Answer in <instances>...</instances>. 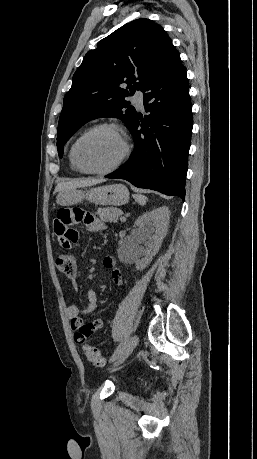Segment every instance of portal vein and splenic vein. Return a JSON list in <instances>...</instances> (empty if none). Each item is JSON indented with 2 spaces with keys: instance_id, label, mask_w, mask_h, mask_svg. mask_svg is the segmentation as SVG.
I'll return each instance as SVG.
<instances>
[{
  "instance_id": "portal-vein-and-splenic-vein-1",
  "label": "portal vein and splenic vein",
  "mask_w": 257,
  "mask_h": 459,
  "mask_svg": "<svg viewBox=\"0 0 257 459\" xmlns=\"http://www.w3.org/2000/svg\"><path fill=\"white\" fill-rule=\"evenodd\" d=\"M122 214H123V213H122ZM121 220H125V218H124V217H122V218H121Z\"/></svg>"
}]
</instances>
